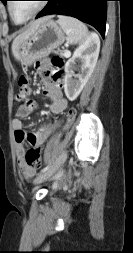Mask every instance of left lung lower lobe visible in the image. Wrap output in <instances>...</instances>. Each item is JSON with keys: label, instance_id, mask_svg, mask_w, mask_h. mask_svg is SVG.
I'll return each mask as SVG.
<instances>
[{"label": "left lung lower lobe", "instance_id": "obj_1", "mask_svg": "<svg viewBox=\"0 0 133 253\" xmlns=\"http://www.w3.org/2000/svg\"><path fill=\"white\" fill-rule=\"evenodd\" d=\"M48 4L36 18L62 14L75 17L95 27L104 38L109 0H46Z\"/></svg>", "mask_w": 133, "mask_h": 253}]
</instances>
